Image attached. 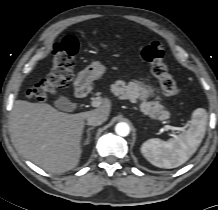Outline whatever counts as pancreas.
Returning <instances> with one entry per match:
<instances>
[{"label": "pancreas", "mask_w": 218, "mask_h": 210, "mask_svg": "<svg viewBox=\"0 0 218 210\" xmlns=\"http://www.w3.org/2000/svg\"><path fill=\"white\" fill-rule=\"evenodd\" d=\"M111 91L120 99H128L133 103L141 101L140 109L145 115L152 118L164 120L169 118L170 113L164 110V106L159 102H146V99L152 95V89L141 81L129 82L118 80L111 86Z\"/></svg>", "instance_id": "1"}]
</instances>
